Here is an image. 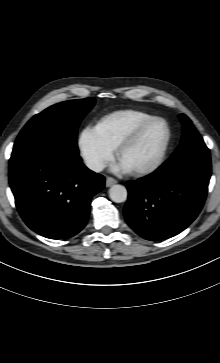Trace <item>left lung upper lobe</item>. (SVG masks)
Listing matches in <instances>:
<instances>
[{"mask_svg":"<svg viewBox=\"0 0 220 363\" xmlns=\"http://www.w3.org/2000/svg\"><path fill=\"white\" fill-rule=\"evenodd\" d=\"M180 119L183 125V136L179 147L173 155L192 149L208 151L209 149L206 147L202 137L194 128L191 120L184 114L180 115Z\"/></svg>","mask_w":220,"mask_h":363,"instance_id":"1","label":"left lung upper lobe"}]
</instances>
